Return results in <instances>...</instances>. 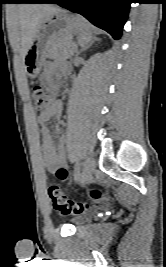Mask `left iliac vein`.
<instances>
[{"instance_id":"left-iliac-vein-1","label":"left iliac vein","mask_w":166,"mask_h":267,"mask_svg":"<svg viewBox=\"0 0 166 267\" xmlns=\"http://www.w3.org/2000/svg\"><path fill=\"white\" fill-rule=\"evenodd\" d=\"M95 170V160L92 157H88L84 164L82 183L87 184L92 179Z\"/></svg>"}]
</instances>
